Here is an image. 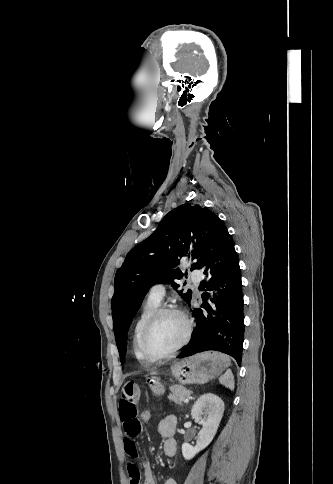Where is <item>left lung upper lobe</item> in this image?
<instances>
[{
  "label": "left lung upper lobe",
  "instance_id": "5c2ea615",
  "mask_svg": "<svg viewBox=\"0 0 333 484\" xmlns=\"http://www.w3.org/2000/svg\"><path fill=\"white\" fill-rule=\"evenodd\" d=\"M215 217L201 205H180L162 219L151 236L127 254L116 272L111 301L121 362L126 353L128 328L148 289L157 283H171L174 289L179 287L176 281L183 277L178 268L180 259L188 256L198 260ZM178 293L185 301L191 300V290Z\"/></svg>",
  "mask_w": 333,
  "mask_h": 484
}]
</instances>
